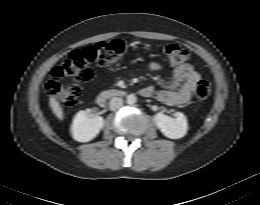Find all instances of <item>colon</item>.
Wrapping results in <instances>:
<instances>
[{"label": "colon", "instance_id": "obj_1", "mask_svg": "<svg viewBox=\"0 0 260 205\" xmlns=\"http://www.w3.org/2000/svg\"><path fill=\"white\" fill-rule=\"evenodd\" d=\"M165 55L173 64H182L189 57V52L177 44L165 47ZM126 53L125 45L119 40L99 42L97 44L74 50L61 65L55 67L46 85L49 96L74 106L81 95L83 82L93 78V65L110 66L118 63ZM210 84L200 79L194 94L198 99H207L210 95Z\"/></svg>", "mask_w": 260, "mask_h": 205}]
</instances>
